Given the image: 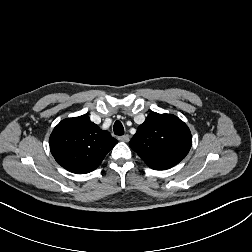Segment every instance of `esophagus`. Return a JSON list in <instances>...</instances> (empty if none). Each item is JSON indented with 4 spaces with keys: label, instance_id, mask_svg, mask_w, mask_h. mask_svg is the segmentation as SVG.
Returning a JSON list of instances; mask_svg holds the SVG:
<instances>
[{
    "label": "esophagus",
    "instance_id": "1",
    "mask_svg": "<svg viewBox=\"0 0 252 252\" xmlns=\"http://www.w3.org/2000/svg\"><path fill=\"white\" fill-rule=\"evenodd\" d=\"M118 139L123 142H128L130 140V136L126 134V135L118 137Z\"/></svg>",
    "mask_w": 252,
    "mask_h": 252
}]
</instances>
